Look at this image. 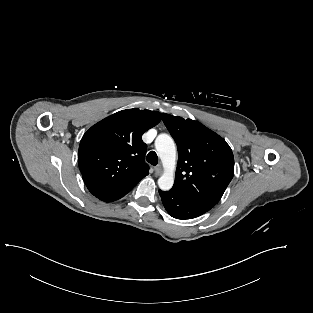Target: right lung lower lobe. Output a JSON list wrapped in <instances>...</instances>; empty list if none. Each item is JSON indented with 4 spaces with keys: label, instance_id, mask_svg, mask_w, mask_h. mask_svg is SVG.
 <instances>
[{
    "label": "right lung lower lobe",
    "instance_id": "right-lung-lower-lobe-1",
    "mask_svg": "<svg viewBox=\"0 0 313 313\" xmlns=\"http://www.w3.org/2000/svg\"><path fill=\"white\" fill-rule=\"evenodd\" d=\"M138 184V182L126 185L124 187H120L114 190H110V191H106L103 193H100L98 195H95L97 198H99L102 201L105 202H113L115 200H118L120 198H122L123 196H125L128 192H130L136 185Z\"/></svg>",
    "mask_w": 313,
    "mask_h": 313
}]
</instances>
